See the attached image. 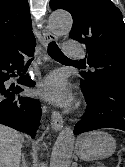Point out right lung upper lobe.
Segmentation results:
<instances>
[{
	"label": "right lung upper lobe",
	"mask_w": 125,
	"mask_h": 167,
	"mask_svg": "<svg viewBox=\"0 0 125 167\" xmlns=\"http://www.w3.org/2000/svg\"><path fill=\"white\" fill-rule=\"evenodd\" d=\"M34 44L27 0H0V58Z\"/></svg>",
	"instance_id": "1"
}]
</instances>
